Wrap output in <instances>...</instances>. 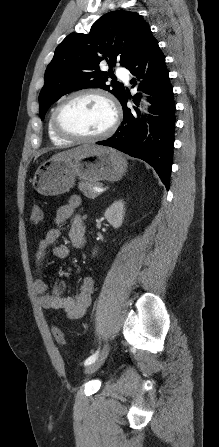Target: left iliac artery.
<instances>
[{"instance_id":"1","label":"left iliac artery","mask_w":219,"mask_h":447,"mask_svg":"<svg viewBox=\"0 0 219 447\" xmlns=\"http://www.w3.org/2000/svg\"><path fill=\"white\" fill-rule=\"evenodd\" d=\"M98 353H99V351H96V353H94L89 358H87L84 362V365L86 366V365H89L92 362H94L96 360V358L98 357Z\"/></svg>"}]
</instances>
